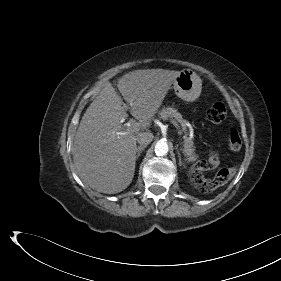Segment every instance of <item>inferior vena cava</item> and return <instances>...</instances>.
Instances as JSON below:
<instances>
[{"label":"inferior vena cava","instance_id":"obj_1","mask_svg":"<svg viewBox=\"0 0 281 281\" xmlns=\"http://www.w3.org/2000/svg\"><path fill=\"white\" fill-rule=\"evenodd\" d=\"M154 136L151 132H140L137 135V142L140 144V146H147L149 143L152 142Z\"/></svg>","mask_w":281,"mask_h":281}]
</instances>
